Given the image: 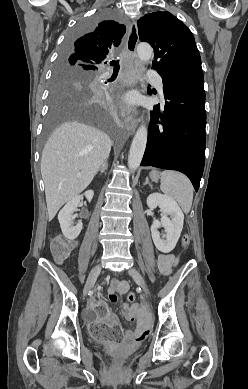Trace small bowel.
<instances>
[{
	"mask_svg": "<svg viewBox=\"0 0 248 389\" xmlns=\"http://www.w3.org/2000/svg\"><path fill=\"white\" fill-rule=\"evenodd\" d=\"M177 258L173 254H162L158 260V267L162 274L168 275L171 273L172 268L176 265ZM115 278L119 277L118 273L114 274ZM129 285L125 281L113 280L108 291V297L110 302H116L118 295H124L127 293ZM93 302L90 308L86 312V318L91 322H95L97 318L94 317ZM126 319L129 321H136L137 326L135 331L127 330L124 334L123 342L128 346L135 348L141 343L149 334V321L146 316L145 307L142 305H129L127 303L122 304ZM110 322H116L117 318L114 315H109L107 318Z\"/></svg>",
	"mask_w": 248,
	"mask_h": 389,
	"instance_id": "1",
	"label": "small bowel"
}]
</instances>
